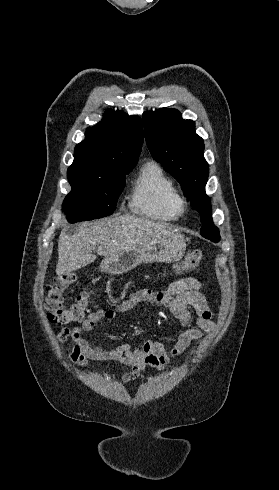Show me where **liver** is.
I'll list each match as a JSON object with an SVG mask.
<instances>
[{"mask_svg": "<svg viewBox=\"0 0 279 490\" xmlns=\"http://www.w3.org/2000/svg\"><path fill=\"white\" fill-rule=\"evenodd\" d=\"M181 236L170 224H156L137 216H118L97 222L79 224V232L73 236L60 234L58 242V278L80 270L96 260L93 256L96 246L99 256H117L125 250H134L144 242Z\"/></svg>", "mask_w": 279, "mask_h": 490, "instance_id": "liver-1", "label": "liver"}]
</instances>
